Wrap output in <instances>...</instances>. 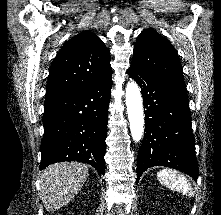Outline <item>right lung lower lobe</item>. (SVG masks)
Listing matches in <instances>:
<instances>
[{
	"mask_svg": "<svg viewBox=\"0 0 221 215\" xmlns=\"http://www.w3.org/2000/svg\"><path fill=\"white\" fill-rule=\"evenodd\" d=\"M111 76L63 99L44 105L40 170L60 161L105 168Z\"/></svg>",
	"mask_w": 221,
	"mask_h": 215,
	"instance_id": "1",
	"label": "right lung lower lobe"
}]
</instances>
